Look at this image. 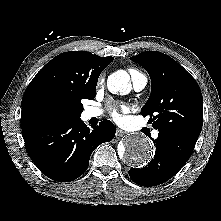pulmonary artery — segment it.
<instances>
[{"label": "pulmonary artery", "instance_id": "obj_1", "mask_svg": "<svg viewBox=\"0 0 221 221\" xmlns=\"http://www.w3.org/2000/svg\"><path fill=\"white\" fill-rule=\"evenodd\" d=\"M132 81H133V86L134 89L137 91H140L142 89H144L147 86L148 83V79L145 75L143 74H138L132 77ZM102 113V111L98 108H88L85 110V116L87 118H93V117H98L100 116ZM152 136L154 138L158 137V132L154 131Z\"/></svg>", "mask_w": 221, "mask_h": 221}]
</instances>
